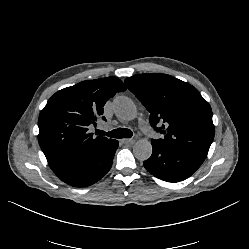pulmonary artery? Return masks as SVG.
Wrapping results in <instances>:
<instances>
[{
    "mask_svg": "<svg viewBox=\"0 0 249 249\" xmlns=\"http://www.w3.org/2000/svg\"><path fill=\"white\" fill-rule=\"evenodd\" d=\"M139 125L144 130L147 128L146 122L143 119H139ZM106 127H107V124L105 123H101L98 125L99 129H105Z\"/></svg>",
    "mask_w": 249,
    "mask_h": 249,
    "instance_id": "1",
    "label": "pulmonary artery"
}]
</instances>
